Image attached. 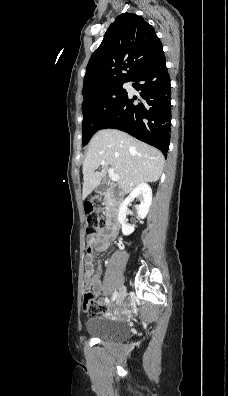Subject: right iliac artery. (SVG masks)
Masks as SVG:
<instances>
[{
	"label": "right iliac artery",
	"instance_id": "obj_1",
	"mask_svg": "<svg viewBox=\"0 0 228 396\" xmlns=\"http://www.w3.org/2000/svg\"><path fill=\"white\" fill-rule=\"evenodd\" d=\"M118 292L115 291L112 295V301H114L117 298Z\"/></svg>",
	"mask_w": 228,
	"mask_h": 396
}]
</instances>
